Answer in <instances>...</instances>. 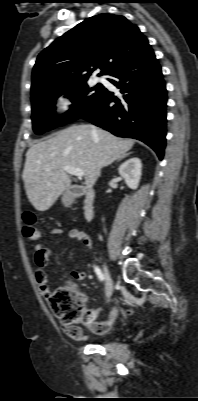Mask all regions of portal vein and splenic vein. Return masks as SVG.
I'll list each match as a JSON object with an SVG mask.
<instances>
[{"label":"portal vein and splenic vein","mask_w":198,"mask_h":401,"mask_svg":"<svg viewBox=\"0 0 198 401\" xmlns=\"http://www.w3.org/2000/svg\"><path fill=\"white\" fill-rule=\"evenodd\" d=\"M63 169L67 173H69L71 175H74V176H77V177H83L84 176V171L82 169H80V168L71 167V166H64Z\"/></svg>","instance_id":"portal-vein-and-splenic-vein-1"}]
</instances>
